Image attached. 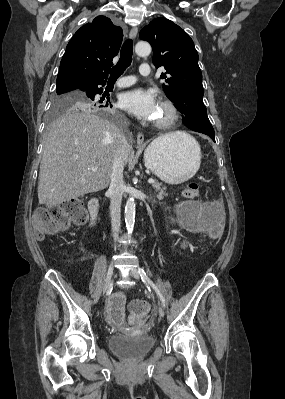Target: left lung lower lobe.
<instances>
[{
    "instance_id": "0a47b994",
    "label": "left lung lower lobe",
    "mask_w": 285,
    "mask_h": 399,
    "mask_svg": "<svg viewBox=\"0 0 285 399\" xmlns=\"http://www.w3.org/2000/svg\"><path fill=\"white\" fill-rule=\"evenodd\" d=\"M210 137L215 142V135H210Z\"/></svg>"
}]
</instances>
